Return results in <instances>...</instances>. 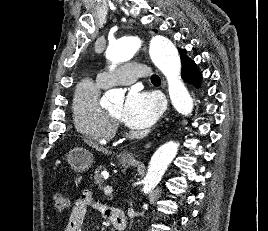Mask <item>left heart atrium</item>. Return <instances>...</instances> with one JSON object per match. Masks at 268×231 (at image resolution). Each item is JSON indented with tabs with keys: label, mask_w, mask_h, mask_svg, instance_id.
<instances>
[{
	"label": "left heart atrium",
	"mask_w": 268,
	"mask_h": 231,
	"mask_svg": "<svg viewBox=\"0 0 268 231\" xmlns=\"http://www.w3.org/2000/svg\"><path fill=\"white\" fill-rule=\"evenodd\" d=\"M162 106L158 97L152 93L132 88L128 93L122 110V119L134 129L151 126L160 116Z\"/></svg>",
	"instance_id": "left-heart-atrium-1"
}]
</instances>
